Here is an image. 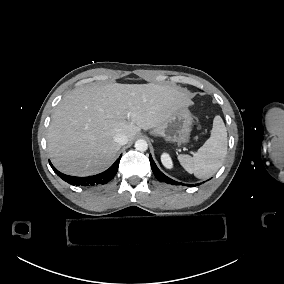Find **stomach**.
I'll return each instance as SVG.
<instances>
[{
	"mask_svg": "<svg viewBox=\"0 0 284 284\" xmlns=\"http://www.w3.org/2000/svg\"><path fill=\"white\" fill-rule=\"evenodd\" d=\"M193 117L187 108L178 110L168 121L151 130V135L162 137L179 147H186L191 143Z\"/></svg>",
	"mask_w": 284,
	"mask_h": 284,
	"instance_id": "stomach-1",
	"label": "stomach"
}]
</instances>
